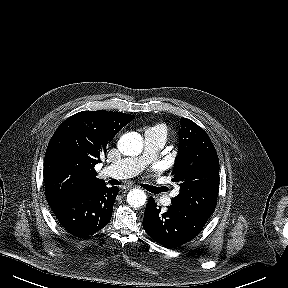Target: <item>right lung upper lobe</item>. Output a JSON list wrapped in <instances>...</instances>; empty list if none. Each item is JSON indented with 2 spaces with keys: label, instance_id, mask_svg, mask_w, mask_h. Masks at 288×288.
Wrapping results in <instances>:
<instances>
[{
  "label": "right lung upper lobe",
  "instance_id": "obj_1",
  "mask_svg": "<svg viewBox=\"0 0 288 288\" xmlns=\"http://www.w3.org/2000/svg\"><path fill=\"white\" fill-rule=\"evenodd\" d=\"M133 118L122 112L82 111L66 119L51 137L45 154L47 201L103 184L94 167L117 132Z\"/></svg>",
  "mask_w": 288,
  "mask_h": 288
}]
</instances>
